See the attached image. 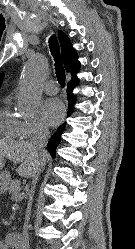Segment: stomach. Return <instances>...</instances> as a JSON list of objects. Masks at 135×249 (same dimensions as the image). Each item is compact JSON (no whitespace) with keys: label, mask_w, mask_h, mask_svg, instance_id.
<instances>
[{"label":"stomach","mask_w":135,"mask_h":249,"mask_svg":"<svg viewBox=\"0 0 135 249\" xmlns=\"http://www.w3.org/2000/svg\"><path fill=\"white\" fill-rule=\"evenodd\" d=\"M4 158L0 157V170L3 168L4 166ZM10 181V177L5 174V173H0V188L3 189L6 187V185L9 183Z\"/></svg>","instance_id":"obj_1"}]
</instances>
